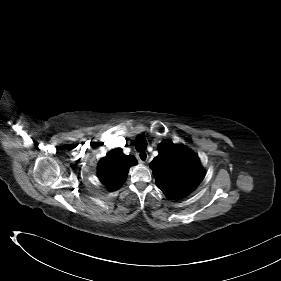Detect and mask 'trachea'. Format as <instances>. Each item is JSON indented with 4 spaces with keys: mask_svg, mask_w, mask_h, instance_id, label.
Instances as JSON below:
<instances>
[{
    "mask_svg": "<svg viewBox=\"0 0 281 281\" xmlns=\"http://www.w3.org/2000/svg\"><path fill=\"white\" fill-rule=\"evenodd\" d=\"M134 144H135L136 150L139 152L144 151L147 148V141L141 135L136 137Z\"/></svg>",
    "mask_w": 281,
    "mask_h": 281,
    "instance_id": "trachea-1",
    "label": "trachea"
}]
</instances>
